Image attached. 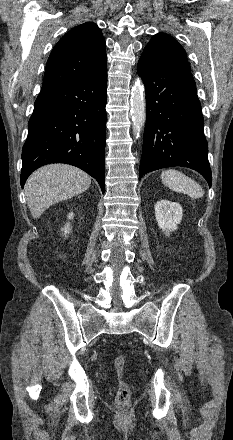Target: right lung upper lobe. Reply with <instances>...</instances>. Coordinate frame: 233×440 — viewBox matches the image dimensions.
Here are the masks:
<instances>
[{
    "label": "right lung upper lobe",
    "mask_w": 233,
    "mask_h": 440,
    "mask_svg": "<svg viewBox=\"0 0 233 440\" xmlns=\"http://www.w3.org/2000/svg\"><path fill=\"white\" fill-rule=\"evenodd\" d=\"M105 40L91 22L67 32L52 50L42 89L72 85L94 78L107 69Z\"/></svg>",
    "instance_id": "1"
}]
</instances>
